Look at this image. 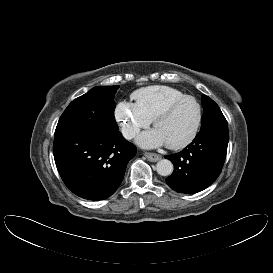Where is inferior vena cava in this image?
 <instances>
[{
	"label": "inferior vena cava",
	"mask_w": 273,
	"mask_h": 273,
	"mask_svg": "<svg viewBox=\"0 0 273 273\" xmlns=\"http://www.w3.org/2000/svg\"><path fill=\"white\" fill-rule=\"evenodd\" d=\"M123 136L130 140L136 135V130L132 128H126L122 131Z\"/></svg>",
	"instance_id": "602c4592"
}]
</instances>
